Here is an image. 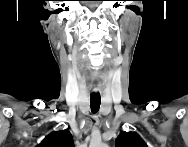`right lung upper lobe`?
<instances>
[{
	"label": "right lung upper lobe",
	"instance_id": "cb5924a9",
	"mask_svg": "<svg viewBox=\"0 0 188 147\" xmlns=\"http://www.w3.org/2000/svg\"><path fill=\"white\" fill-rule=\"evenodd\" d=\"M39 147H73V138L68 130L55 131L49 134L38 145Z\"/></svg>",
	"mask_w": 188,
	"mask_h": 147
}]
</instances>
